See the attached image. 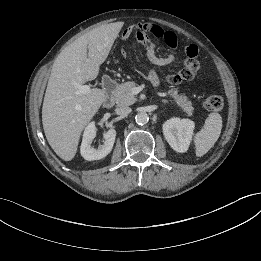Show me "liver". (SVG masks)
Returning <instances> with one entry per match:
<instances>
[{
  "mask_svg": "<svg viewBox=\"0 0 261 261\" xmlns=\"http://www.w3.org/2000/svg\"><path fill=\"white\" fill-rule=\"evenodd\" d=\"M120 29L118 23L93 29L73 41L54 61L42 123L49 145L65 161L74 158L82 131L106 99L105 91L98 88L78 94L76 84L98 76Z\"/></svg>",
  "mask_w": 261,
  "mask_h": 261,
  "instance_id": "1",
  "label": "liver"
}]
</instances>
